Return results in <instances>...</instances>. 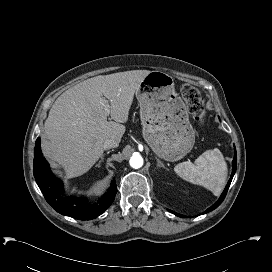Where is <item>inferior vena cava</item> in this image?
<instances>
[{"label": "inferior vena cava", "instance_id": "602c4592", "mask_svg": "<svg viewBox=\"0 0 272 272\" xmlns=\"http://www.w3.org/2000/svg\"><path fill=\"white\" fill-rule=\"evenodd\" d=\"M119 143L113 139H107L105 140L104 142V149L107 150V149H111V148H116L118 147Z\"/></svg>", "mask_w": 272, "mask_h": 272}]
</instances>
